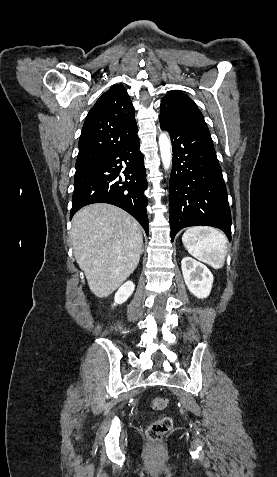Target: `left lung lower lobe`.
<instances>
[{"label": "left lung lower lobe", "mask_w": 277, "mask_h": 477, "mask_svg": "<svg viewBox=\"0 0 277 477\" xmlns=\"http://www.w3.org/2000/svg\"><path fill=\"white\" fill-rule=\"evenodd\" d=\"M172 140L170 228L207 225L225 232L231 241L227 190L209 130L161 125Z\"/></svg>", "instance_id": "1"}]
</instances>
